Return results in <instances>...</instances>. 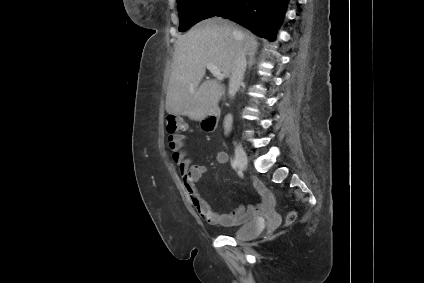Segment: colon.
Masks as SVG:
<instances>
[{"label": "colon", "mask_w": 424, "mask_h": 283, "mask_svg": "<svg viewBox=\"0 0 424 283\" xmlns=\"http://www.w3.org/2000/svg\"><path fill=\"white\" fill-rule=\"evenodd\" d=\"M166 129L169 133L174 134L185 127L183 119L177 115L169 114L165 117ZM295 219V214L293 212L289 213L287 216V223H292Z\"/></svg>", "instance_id": "obj_1"}]
</instances>
